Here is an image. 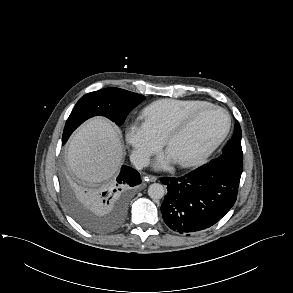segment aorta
<instances>
[{"label": "aorta", "mask_w": 293, "mask_h": 293, "mask_svg": "<svg viewBox=\"0 0 293 293\" xmlns=\"http://www.w3.org/2000/svg\"><path fill=\"white\" fill-rule=\"evenodd\" d=\"M148 195L154 200L162 199L165 195V188L160 183H153L148 188Z\"/></svg>", "instance_id": "1"}]
</instances>
